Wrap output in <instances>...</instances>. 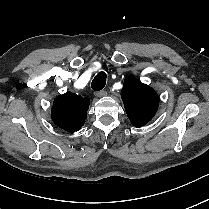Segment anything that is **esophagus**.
Segmentation results:
<instances>
[{"label": "esophagus", "instance_id": "34e87169", "mask_svg": "<svg viewBox=\"0 0 209 209\" xmlns=\"http://www.w3.org/2000/svg\"><path fill=\"white\" fill-rule=\"evenodd\" d=\"M95 95H96L97 97H103V96H106V95H107V91H105V90H100V91L96 92Z\"/></svg>", "mask_w": 209, "mask_h": 209}]
</instances>
